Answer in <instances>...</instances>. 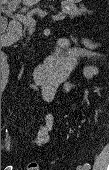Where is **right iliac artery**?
<instances>
[{"mask_svg":"<svg viewBox=\"0 0 109 170\" xmlns=\"http://www.w3.org/2000/svg\"><path fill=\"white\" fill-rule=\"evenodd\" d=\"M13 169V167L10 165V166H7L6 168H5V170H12Z\"/></svg>","mask_w":109,"mask_h":170,"instance_id":"1","label":"right iliac artery"}]
</instances>
